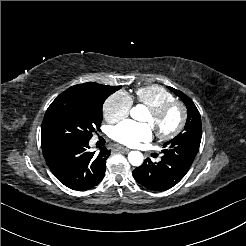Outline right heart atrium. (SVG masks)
<instances>
[{
    "label": "right heart atrium",
    "instance_id": "obj_1",
    "mask_svg": "<svg viewBox=\"0 0 246 246\" xmlns=\"http://www.w3.org/2000/svg\"><path fill=\"white\" fill-rule=\"evenodd\" d=\"M133 99L126 91L111 94L103 104L104 118L110 123L125 119L132 108Z\"/></svg>",
    "mask_w": 246,
    "mask_h": 246
}]
</instances>
